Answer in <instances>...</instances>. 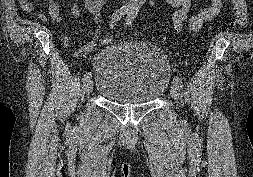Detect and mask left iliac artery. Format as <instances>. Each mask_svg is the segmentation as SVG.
<instances>
[{
    "label": "left iliac artery",
    "instance_id": "44dca946",
    "mask_svg": "<svg viewBox=\"0 0 253 177\" xmlns=\"http://www.w3.org/2000/svg\"><path fill=\"white\" fill-rule=\"evenodd\" d=\"M139 9L138 7H133L129 12H128V15H127V18H126V25L127 26H130L133 22V20L136 18L137 16V13H138ZM173 82L178 85L179 87H183V82H182V79L179 78L178 76H175L173 78Z\"/></svg>",
    "mask_w": 253,
    "mask_h": 177
}]
</instances>
